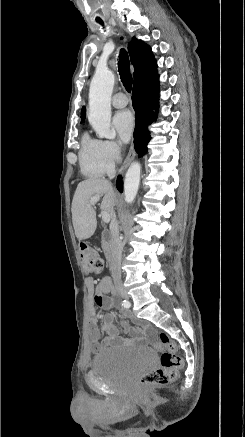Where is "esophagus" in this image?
<instances>
[{
  "label": "esophagus",
  "instance_id": "34e87169",
  "mask_svg": "<svg viewBox=\"0 0 245 437\" xmlns=\"http://www.w3.org/2000/svg\"><path fill=\"white\" fill-rule=\"evenodd\" d=\"M134 155H135L134 146H131L129 153H128L127 157L125 158L123 165L120 169V173H123L126 170L128 165L130 164L131 160L133 159Z\"/></svg>",
  "mask_w": 245,
  "mask_h": 437
}]
</instances>
